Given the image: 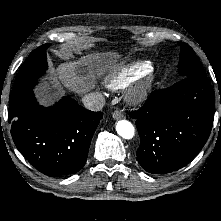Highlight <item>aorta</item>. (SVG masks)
Here are the masks:
<instances>
[{
  "label": "aorta",
  "mask_w": 221,
  "mask_h": 221,
  "mask_svg": "<svg viewBox=\"0 0 221 221\" xmlns=\"http://www.w3.org/2000/svg\"><path fill=\"white\" fill-rule=\"evenodd\" d=\"M116 131L124 139H132L135 135V129L128 120H119L116 123Z\"/></svg>",
  "instance_id": "aorta-1"
}]
</instances>
